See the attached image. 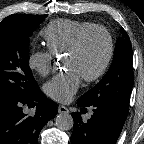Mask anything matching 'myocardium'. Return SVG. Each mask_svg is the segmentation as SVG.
<instances>
[{
  "mask_svg": "<svg viewBox=\"0 0 144 144\" xmlns=\"http://www.w3.org/2000/svg\"><path fill=\"white\" fill-rule=\"evenodd\" d=\"M95 31L101 32L105 36V38L107 40V53H106V56H105V59H104L102 65L98 68V70L89 76L83 77V79L86 82H93V81H96L99 78H101L104 75V73L106 72V70L108 69V67L112 61V58L114 55V40H113V37H112V34L110 33V31L102 25L95 24L93 26H90V27L82 30L77 35V37L75 38V40L73 41V43L71 44V46L69 47V49L66 52L67 55L76 53L82 46V43L84 42L85 38L90 33L95 32Z\"/></svg>",
  "mask_w": 144,
  "mask_h": 144,
  "instance_id": "obj_1",
  "label": "myocardium"
}]
</instances>
